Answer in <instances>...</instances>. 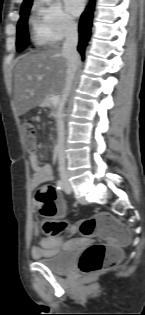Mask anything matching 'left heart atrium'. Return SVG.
I'll use <instances>...</instances> for the list:
<instances>
[{
  "label": "left heart atrium",
  "mask_w": 145,
  "mask_h": 315,
  "mask_svg": "<svg viewBox=\"0 0 145 315\" xmlns=\"http://www.w3.org/2000/svg\"><path fill=\"white\" fill-rule=\"evenodd\" d=\"M64 3L66 10L72 16H78L85 6V0H64Z\"/></svg>",
  "instance_id": "obj_1"
}]
</instances>
